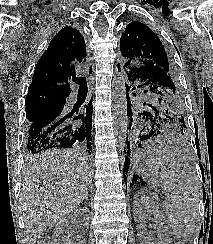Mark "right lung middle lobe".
Wrapping results in <instances>:
<instances>
[{
	"label": "right lung middle lobe",
	"instance_id": "right-lung-middle-lobe-1",
	"mask_svg": "<svg viewBox=\"0 0 213 244\" xmlns=\"http://www.w3.org/2000/svg\"><path fill=\"white\" fill-rule=\"evenodd\" d=\"M66 102V98L53 95L42 94L33 97H26V117L28 125L41 117L50 108L62 105Z\"/></svg>",
	"mask_w": 213,
	"mask_h": 244
}]
</instances>
